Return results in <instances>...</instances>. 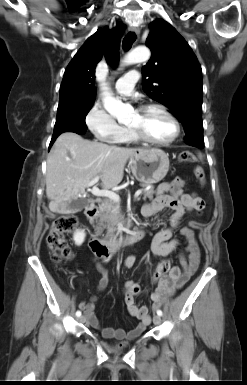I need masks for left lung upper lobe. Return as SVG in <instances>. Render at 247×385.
<instances>
[{
  "label": "left lung upper lobe",
  "instance_id": "obj_1",
  "mask_svg": "<svg viewBox=\"0 0 247 385\" xmlns=\"http://www.w3.org/2000/svg\"><path fill=\"white\" fill-rule=\"evenodd\" d=\"M146 45L152 56L142 68V87L152 99L171 109L185 134L203 132L202 70L184 38L163 19L150 24Z\"/></svg>",
  "mask_w": 247,
  "mask_h": 385
}]
</instances>
